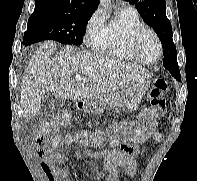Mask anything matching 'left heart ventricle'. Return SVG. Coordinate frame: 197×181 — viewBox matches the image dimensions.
Returning a JSON list of instances; mask_svg holds the SVG:
<instances>
[{
  "mask_svg": "<svg viewBox=\"0 0 197 181\" xmlns=\"http://www.w3.org/2000/svg\"><path fill=\"white\" fill-rule=\"evenodd\" d=\"M139 48L143 57L147 60H155L158 56V45L150 34H145L142 36L139 42Z\"/></svg>",
  "mask_w": 197,
  "mask_h": 181,
  "instance_id": "left-heart-ventricle-1",
  "label": "left heart ventricle"
}]
</instances>
